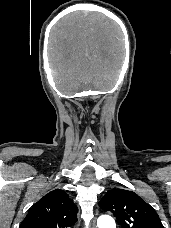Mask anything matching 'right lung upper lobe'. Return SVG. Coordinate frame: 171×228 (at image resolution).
<instances>
[{
    "label": "right lung upper lobe",
    "mask_w": 171,
    "mask_h": 228,
    "mask_svg": "<svg viewBox=\"0 0 171 228\" xmlns=\"http://www.w3.org/2000/svg\"><path fill=\"white\" fill-rule=\"evenodd\" d=\"M78 209L61 189H56L32 206L20 228H69L77 221Z\"/></svg>",
    "instance_id": "cb5924a9"
}]
</instances>
